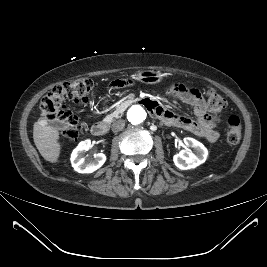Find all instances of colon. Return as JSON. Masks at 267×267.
I'll return each instance as SVG.
<instances>
[{
    "instance_id": "5ec220e1",
    "label": "colon",
    "mask_w": 267,
    "mask_h": 267,
    "mask_svg": "<svg viewBox=\"0 0 267 267\" xmlns=\"http://www.w3.org/2000/svg\"><path fill=\"white\" fill-rule=\"evenodd\" d=\"M94 88L92 80L87 78L74 79L56 85L40 102V111L44 120L59 121L62 123V135L67 140H76L79 137L78 118L69 111L71 102H83ZM207 107L216 121L226 107V100L215 90L207 92ZM242 133L240 118L231 115L226 121V138L231 144L239 142Z\"/></svg>"
}]
</instances>
